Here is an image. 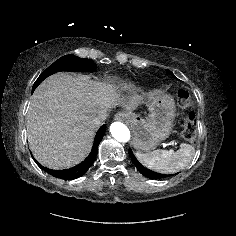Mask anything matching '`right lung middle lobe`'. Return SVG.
I'll use <instances>...</instances> for the list:
<instances>
[{"label": "right lung middle lobe", "instance_id": "1", "mask_svg": "<svg viewBox=\"0 0 236 236\" xmlns=\"http://www.w3.org/2000/svg\"><path fill=\"white\" fill-rule=\"evenodd\" d=\"M95 64L90 59L79 58L74 55H66L59 58L46 70H44L33 85L32 92L48 76L59 71H95Z\"/></svg>", "mask_w": 236, "mask_h": 236}]
</instances>
